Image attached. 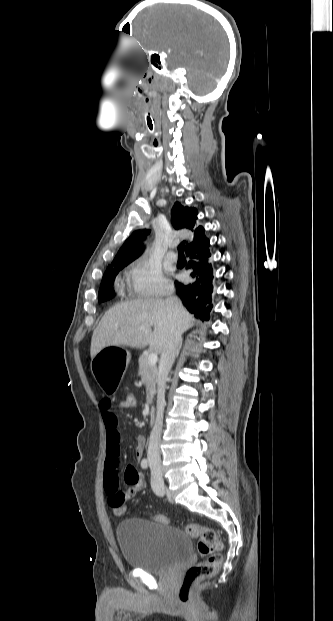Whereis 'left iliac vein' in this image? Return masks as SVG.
Here are the masks:
<instances>
[{"instance_id":"left-iliac-vein-1","label":"left iliac vein","mask_w":333,"mask_h":621,"mask_svg":"<svg viewBox=\"0 0 333 621\" xmlns=\"http://www.w3.org/2000/svg\"><path fill=\"white\" fill-rule=\"evenodd\" d=\"M152 481L156 482L157 484V489L155 490V492L158 495H163L164 494V481H163L162 475L159 474L158 472H153Z\"/></svg>"}]
</instances>
